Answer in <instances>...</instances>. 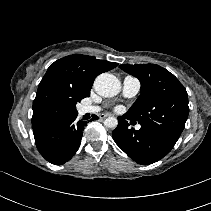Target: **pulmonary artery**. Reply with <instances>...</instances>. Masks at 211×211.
I'll list each match as a JSON object with an SVG mask.
<instances>
[{
  "mask_svg": "<svg viewBox=\"0 0 211 211\" xmlns=\"http://www.w3.org/2000/svg\"><path fill=\"white\" fill-rule=\"evenodd\" d=\"M141 83L140 81L132 76H126L123 80L122 93L125 97H134L140 91ZM101 110L100 106L95 105H85L81 108V113H97ZM138 129L140 126L137 127Z\"/></svg>",
  "mask_w": 211,
  "mask_h": 211,
  "instance_id": "1",
  "label": "pulmonary artery"
}]
</instances>
